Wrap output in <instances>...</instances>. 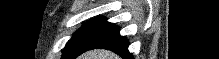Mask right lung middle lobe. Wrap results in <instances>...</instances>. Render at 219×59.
Returning a JSON list of instances; mask_svg holds the SVG:
<instances>
[{
  "instance_id": "right-lung-middle-lobe-1",
  "label": "right lung middle lobe",
  "mask_w": 219,
  "mask_h": 59,
  "mask_svg": "<svg viewBox=\"0 0 219 59\" xmlns=\"http://www.w3.org/2000/svg\"><path fill=\"white\" fill-rule=\"evenodd\" d=\"M116 29L117 26L107 22L104 17L90 20L67 42L61 59H75Z\"/></svg>"
}]
</instances>
